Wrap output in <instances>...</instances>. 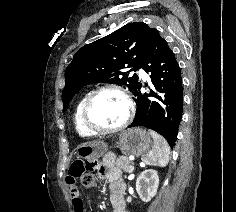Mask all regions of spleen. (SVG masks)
Segmentation results:
<instances>
[{"label": "spleen", "mask_w": 236, "mask_h": 212, "mask_svg": "<svg viewBox=\"0 0 236 212\" xmlns=\"http://www.w3.org/2000/svg\"><path fill=\"white\" fill-rule=\"evenodd\" d=\"M154 145L152 149L142 156V161L146 165L165 167L169 162L170 147L167 141L158 133L151 130Z\"/></svg>", "instance_id": "3e777b00"}]
</instances>
